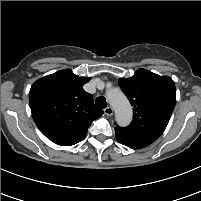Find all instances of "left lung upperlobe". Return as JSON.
<instances>
[{
  "label": "left lung upper lobe",
  "instance_id": "left-lung-upper-lobe-1",
  "mask_svg": "<svg viewBox=\"0 0 201 201\" xmlns=\"http://www.w3.org/2000/svg\"><path fill=\"white\" fill-rule=\"evenodd\" d=\"M118 84L133 106L132 123L116 127L124 134L158 139L164 132L176 104L175 85L168 76L139 69Z\"/></svg>",
  "mask_w": 201,
  "mask_h": 201
}]
</instances>
